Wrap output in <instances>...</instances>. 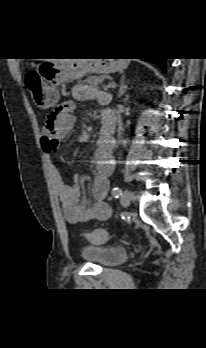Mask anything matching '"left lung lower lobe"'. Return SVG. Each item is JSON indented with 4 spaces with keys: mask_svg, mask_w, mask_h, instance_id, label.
<instances>
[{
    "mask_svg": "<svg viewBox=\"0 0 206 348\" xmlns=\"http://www.w3.org/2000/svg\"><path fill=\"white\" fill-rule=\"evenodd\" d=\"M144 60L157 64L158 66L161 67L162 71L165 72V62H166L165 58H150V59H144Z\"/></svg>",
    "mask_w": 206,
    "mask_h": 348,
    "instance_id": "1",
    "label": "left lung lower lobe"
}]
</instances>
